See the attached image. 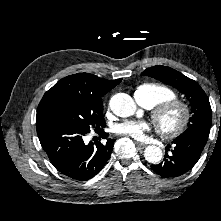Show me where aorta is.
I'll return each mask as SVG.
<instances>
[{
  "instance_id": "1",
  "label": "aorta",
  "mask_w": 221,
  "mask_h": 221,
  "mask_svg": "<svg viewBox=\"0 0 221 221\" xmlns=\"http://www.w3.org/2000/svg\"><path fill=\"white\" fill-rule=\"evenodd\" d=\"M110 107L114 114L120 117L132 116L136 111V105L133 99L125 93H118L111 98ZM145 159L152 164H158L162 160V150L155 145L145 148Z\"/></svg>"
}]
</instances>
